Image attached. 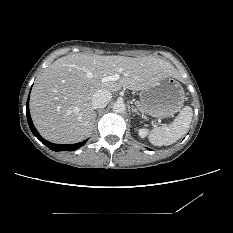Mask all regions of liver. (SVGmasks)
Instances as JSON below:
<instances>
[{
  "label": "liver",
  "mask_w": 233,
  "mask_h": 233,
  "mask_svg": "<svg viewBox=\"0 0 233 233\" xmlns=\"http://www.w3.org/2000/svg\"><path fill=\"white\" fill-rule=\"evenodd\" d=\"M115 74L122 75L118 81L101 82ZM168 77L178 78V72L160 58L70 54L54 61L36 80L30 113L45 139L77 143L93 130L96 113L91 98L96 91L117 92L122 87L139 91Z\"/></svg>",
  "instance_id": "6515ba94"
}]
</instances>
